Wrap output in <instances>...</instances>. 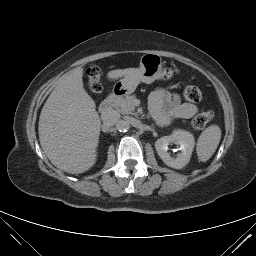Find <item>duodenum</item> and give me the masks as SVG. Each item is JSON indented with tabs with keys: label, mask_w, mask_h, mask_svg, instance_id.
I'll return each mask as SVG.
<instances>
[{
	"label": "duodenum",
	"mask_w": 256,
	"mask_h": 256,
	"mask_svg": "<svg viewBox=\"0 0 256 256\" xmlns=\"http://www.w3.org/2000/svg\"><path fill=\"white\" fill-rule=\"evenodd\" d=\"M125 91L122 89H116L112 92L107 98H105L102 103L100 104L99 111L102 114H107L113 107L115 101L123 96Z\"/></svg>",
	"instance_id": "duodenum-1"
}]
</instances>
